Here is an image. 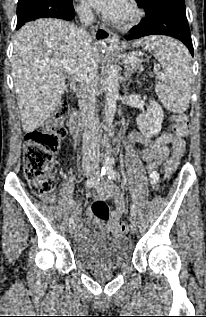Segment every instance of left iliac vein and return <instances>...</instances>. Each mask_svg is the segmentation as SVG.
Segmentation results:
<instances>
[{"mask_svg":"<svg viewBox=\"0 0 206 317\" xmlns=\"http://www.w3.org/2000/svg\"><path fill=\"white\" fill-rule=\"evenodd\" d=\"M130 228L132 233H136L138 230V221L136 218H132L130 223Z\"/></svg>","mask_w":206,"mask_h":317,"instance_id":"obj_1","label":"left iliac vein"}]
</instances>
